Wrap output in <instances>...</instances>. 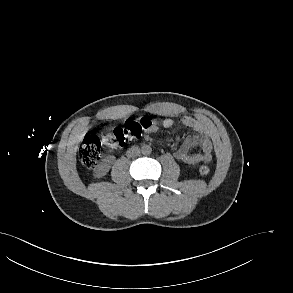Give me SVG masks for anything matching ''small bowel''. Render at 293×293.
Here are the masks:
<instances>
[{"label": "small bowel", "mask_w": 293, "mask_h": 293, "mask_svg": "<svg viewBox=\"0 0 293 293\" xmlns=\"http://www.w3.org/2000/svg\"><path fill=\"white\" fill-rule=\"evenodd\" d=\"M182 124L192 129L195 133L186 137L182 144L175 150V158L191 165L210 162L212 160V142L207 135L205 124L189 116H185L182 119ZM162 126L164 128L172 127L173 120L165 118L162 121ZM154 130H156V127ZM193 147H200L201 151L198 153H190V149Z\"/></svg>", "instance_id": "small-bowel-1"}]
</instances>
